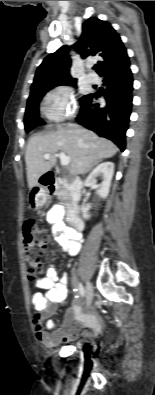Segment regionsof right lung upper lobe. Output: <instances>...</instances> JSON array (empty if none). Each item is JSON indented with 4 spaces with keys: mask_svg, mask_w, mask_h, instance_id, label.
I'll return each mask as SVG.
<instances>
[{
    "mask_svg": "<svg viewBox=\"0 0 155 395\" xmlns=\"http://www.w3.org/2000/svg\"><path fill=\"white\" fill-rule=\"evenodd\" d=\"M82 34L72 48L81 58L89 56L101 57L97 73L103 74L109 69L130 63L126 48L119 34L110 23L96 17H91L82 24ZM70 47L65 45L55 53L48 55L37 68L34 82L31 86V98L45 87L61 82L75 80L70 76L71 58Z\"/></svg>",
    "mask_w": 155,
    "mask_h": 395,
    "instance_id": "right-lung-upper-lobe-1",
    "label": "right lung upper lobe"
}]
</instances>
